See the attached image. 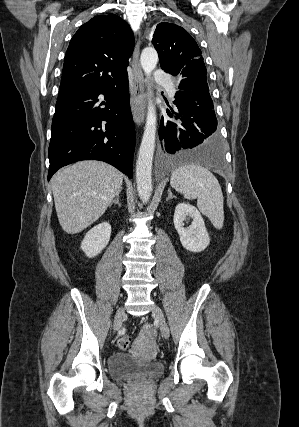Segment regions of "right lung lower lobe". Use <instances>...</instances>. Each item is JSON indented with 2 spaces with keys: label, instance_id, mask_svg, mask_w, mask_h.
<instances>
[{
  "label": "right lung lower lobe",
  "instance_id": "98d812e1",
  "mask_svg": "<svg viewBox=\"0 0 299 427\" xmlns=\"http://www.w3.org/2000/svg\"><path fill=\"white\" fill-rule=\"evenodd\" d=\"M51 133L48 181L61 167L85 159L107 162L132 178L135 129L128 74L58 99Z\"/></svg>",
  "mask_w": 299,
  "mask_h": 427
}]
</instances>
